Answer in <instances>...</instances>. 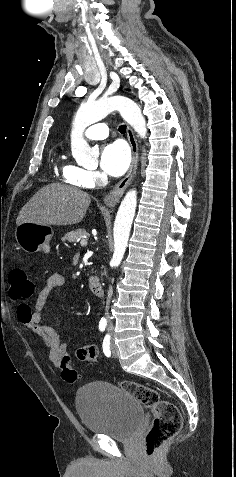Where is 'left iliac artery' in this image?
I'll return each mask as SVG.
<instances>
[{"instance_id": "left-iliac-artery-1", "label": "left iliac artery", "mask_w": 236, "mask_h": 477, "mask_svg": "<svg viewBox=\"0 0 236 477\" xmlns=\"http://www.w3.org/2000/svg\"><path fill=\"white\" fill-rule=\"evenodd\" d=\"M103 352L107 357H110L111 351H110V335L107 334L104 337L103 344H102Z\"/></svg>"}]
</instances>
